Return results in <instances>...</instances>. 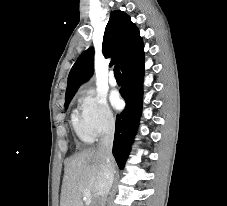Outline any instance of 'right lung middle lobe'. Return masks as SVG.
<instances>
[{
  "label": "right lung middle lobe",
  "instance_id": "dd1d6c3e",
  "mask_svg": "<svg viewBox=\"0 0 227 206\" xmlns=\"http://www.w3.org/2000/svg\"><path fill=\"white\" fill-rule=\"evenodd\" d=\"M72 98H73V97H67V98L65 99V107H67V105L70 103V101H71Z\"/></svg>",
  "mask_w": 227,
  "mask_h": 206
}]
</instances>
